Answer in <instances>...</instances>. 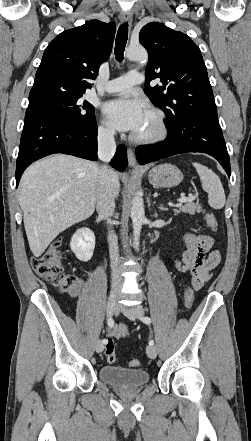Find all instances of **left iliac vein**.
<instances>
[{"label":"left iliac vein","instance_id":"obj_1","mask_svg":"<svg viewBox=\"0 0 251 441\" xmlns=\"http://www.w3.org/2000/svg\"><path fill=\"white\" fill-rule=\"evenodd\" d=\"M118 308L123 312V314L128 317L130 320H135L138 317L143 316L144 310L142 306L137 305L134 307H124L122 305H118ZM146 353L149 358L155 359L157 356V349L153 345H149L146 348Z\"/></svg>","mask_w":251,"mask_h":441}]
</instances>
